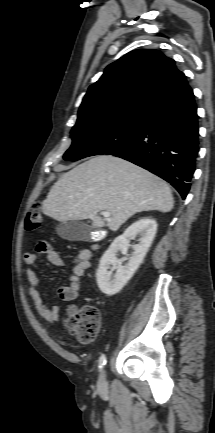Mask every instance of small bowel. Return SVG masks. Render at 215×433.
<instances>
[{
	"label": "small bowel",
	"instance_id": "obj_1",
	"mask_svg": "<svg viewBox=\"0 0 215 433\" xmlns=\"http://www.w3.org/2000/svg\"><path fill=\"white\" fill-rule=\"evenodd\" d=\"M36 253L46 256L50 264L56 267L70 266L72 268L69 282L61 286L57 294L60 299L69 303L67 314L74 315L77 311L75 301L81 290V277L90 267L92 252L90 249L79 250L71 259H64L48 242L39 241L35 246ZM33 252L24 253V261L28 265L26 277L28 281V294L32 299L38 313L49 322H56L60 316V310L56 305L48 306L38 288V278L34 270L37 262V254Z\"/></svg>",
	"mask_w": 215,
	"mask_h": 433
}]
</instances>
